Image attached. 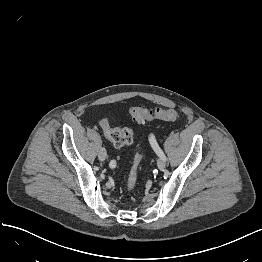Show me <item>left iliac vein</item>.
I'll return each instance as SVG.
<instances>
[{
    "instance_id": "1",
    "label": "left iliac vein",
    "mask_w": 262,
    "mask_h": 262,
    "mask_svg": "<svg viewBox=\"0 0 262 262\" xmlns=\"http://www.w3.org/2000/svg\"><path fill=\"white\" fill-rule=\"evenodd\" d=\"M165 165H166L165 159L163 157H160L157 161L158 169L163 171L165 169Z\"/></svg>"
}]
</instances>
